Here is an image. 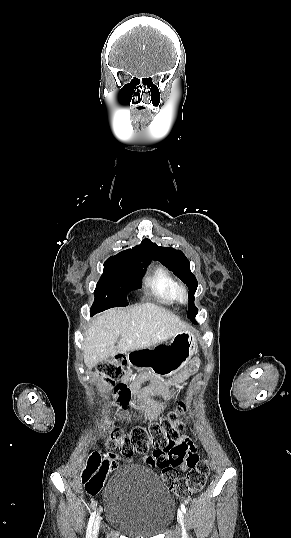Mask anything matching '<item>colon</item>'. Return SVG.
I'll list each match as a JSON object with an SVG mask.
<instances>
[{
    "label": "colon",
    "mask_w": 291,
    "mask_h": 538,
    "mask_svg": "<svg viewBox=\"0 0 291 538\" xmlns=\"http://www.w3.org/2000/svg\"><path fill=\"white\" fill-rule=\"evenodd\" d=\"M126 364V356L119 354L98 366V373L105 386L115 390L118 403L123 407L128 405L131 395L129 387L120 382ZM184 411L186 403L179 401L167 417L151 422L148 427H134L128 435L111 422H107L104 427V438L110 451L119 447L122 454L131 456L134 453H145L152 445L154 451L151 462L162 469L163 483L180 498L197 493L209 474L208 462L199 460L196 451L179 440V429L183 427L179 415ZM183 465L189 468L186 475H180L177 470V467ZM116 467L117 461L112 452L107 455L93 452L81 471V484L89 494H95L101 489L107 474Z\"/></svg>",
    "instance_id": "5ec220e1"
}]
</instances>
